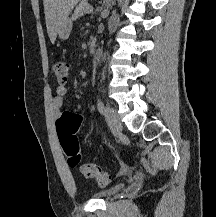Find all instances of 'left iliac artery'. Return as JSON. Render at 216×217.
<instances>
[{
	"label": "left iliac artery",
	"instance_id": "1",
	"mask_svg": "<svg viewBox=\"0 0 216 217\" xmlns=\"http://www.w3.org/2000/svg\"><path fill=\"white\" fill-rule=\"evenodd\" d=\"M97 109L101 114H103L105 111L104 103L102 102L101 99H98L97 101Z\"/></svg>",
	"mask_w": 216,
	"mask_h": 217
}]
</instances>
